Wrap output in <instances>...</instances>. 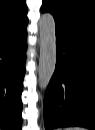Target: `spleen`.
Instances as JSON below:
<instances>
[{
  "label": "spleen",
  "mask_w": 95,
  "mask_h": 130,
  "mask_svg": "<svg viewBox=\"0 0 95 130\" xmlns=\"http://www.w3.org/2000/svg\"><path fill=\"white\" fill-rule=\"evenodd\" d=\"M67 130H84L83 128H79V127H73V128H69Z\"/></svg>",
  "instance_id": "obj_1"
}]
</instances>
